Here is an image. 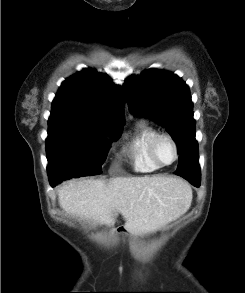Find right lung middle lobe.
<instances>
[{"label":"right lung middle lobe","instance_id":"obj_1","mask_svg":"<svg viewBox=\"0 0 245 293\" xmlns=\"http://www.w3.org/2000/svg\"><path fill=\"white\" fill-rule=\"evenodd\" d=\"M46 152L50 182L72 177L97 175L110 144L122 132V126L103 128L69 121H48ZM110 135V140L106 139Z\"/></svg>","mask_w":245,"mask_h":293}]
</instances>
